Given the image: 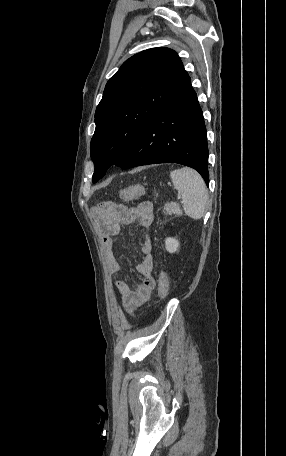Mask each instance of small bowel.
<instances>
[{
  "mask_svg": "<svg viewBox=\"0 0 286 456\" xmlns=\"http://www.w3.org/2000/svg\"><path fill=\"white\" fill-rule=\"evenodd\" d=\"M112 204V209L95 210L92 215L102 233L105 264L110 272L118 273L121 265L116 258L113 238L119 234L120 224L138 223L141 227L148 229L154 222L155 214L151 202H142L135 207H127L114 202ZM151 250V243L148 240L145 241L142 246L144 257L137 268L142 280L135 289L131 288L125 280L115 282V287L121 295L122 305L128 311H133L146 302L155 286L152 276L154 261Z\"/></svg>",
  "mask_w": 286,
  "mask_h": 456,
  "instance_id": "small-bowel-1",
  "label": "small bowel"
}]
</instances>
